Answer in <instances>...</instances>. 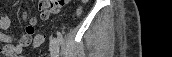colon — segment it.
I'll use <instances>...</instances> for the list:
<instances>
[{"mask_svg":"<svg viewBox=\"0 0 172 57\" xmlns=\"http://www.w3.org/2000/svg\"><path fill=\"white\" fill-rule=\"evenodd\" d=\"M82 2H85L84 0L82 1ZM78 13L80 12V9H78V11H77Z\"/></svg>","mask_w":172,"mask_h":57,"instance_id":"1","label":"colon"}]
</instances>
